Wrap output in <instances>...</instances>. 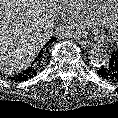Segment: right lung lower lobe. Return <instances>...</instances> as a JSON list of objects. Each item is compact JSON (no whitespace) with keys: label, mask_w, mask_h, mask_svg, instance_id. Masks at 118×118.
<instances>
[{"label":"right lung lower lobe","mask_w":118,"mask_h":118,"mask_svg":"<svg viewBox=\"0 0 118 118\" xmlns=\"http://www.w3.org/2000/svg\"><path fill=\"white\" fill-rule=\"evenodd\" d=\"M55 39L56 38H52V40H55ZM43 52H44L43 50L39 52L38 56L36 57V59L34 60V62L31 64L30 67H28L25 71H23L17 76H14L11 79L16 80V81H25L35 76L43 65Z\"/></svg>","instance_id":"1"}]
</instances>
